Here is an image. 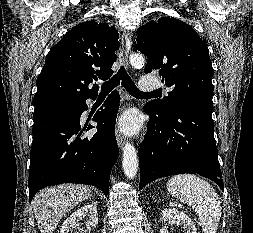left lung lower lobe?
I'll return each instance as SVG.
<instances>
[{
    "label": "left lung lower lobe",
    "mask_w": 253,
    "mask_h": 233,
    "mask_svg": "<svg viewBox=\"0 0 253 233\" xmlns=\"http://www.w3.org/2000/svg\"><path fill=\"white\" fill-rule=\"evenodd\" d=\"M144 110L150 120L139 151V190L157 178L183 173L207 177L224 190L213 135L212 106L189 104L165 119L150 103Z\"/></svg>",
    "instance_id": "1"
}]
</instances>
